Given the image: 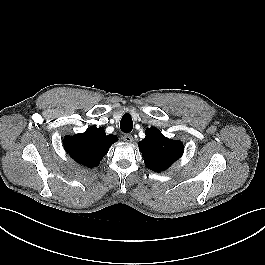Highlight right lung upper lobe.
<instances>
[{"label":"right lung upper lobe","instance_id":"right-lung-upper-lobe-1","mask_svg":"<svg viewBox=\"0 0 265 265\" xmlns=\"http://www.w3.org/2000/svg\"><path fill=\"white\" fill-rule=\"evenodd\" d=\"M117 141L115 135H106L102 128L91 126L84 133L66 136L63 145L77 163L92 168L99 165L111 145Z\"/></svg>","mask_w":265,"mask_h":265}]
</instances>
